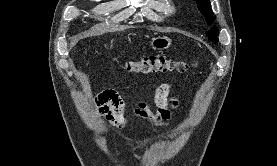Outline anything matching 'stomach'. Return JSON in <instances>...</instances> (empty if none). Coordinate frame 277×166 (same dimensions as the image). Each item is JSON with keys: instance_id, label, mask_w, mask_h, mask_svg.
<instances>
[{"instance_id": "0dacf381", "label": "stomach", "mask_w": 277, "mask_h": 166, "mask_svg": "<svg viewBox=\"0 0 277 166\" xmlns=\"http://www.w3.org/2000/svg\"><path fill=\"white\" fill-rule=\"evenodd\" d=\"M150 46L157 51L168 49L171 46V39L168 37H156L152 39Z\"/></svg>"}]
</instances>
